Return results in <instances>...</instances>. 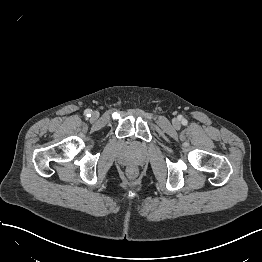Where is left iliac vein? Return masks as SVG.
I'll return each instance as SVG.
<instances>
[{"instance_id":"4c4485c4","label":"left iliac vein","mask_w":262,"mask_h":262,"mask_svg":"<svg viewBox=\"0 0 262 262\" xmlns=\"http://www.w3.org/2000/svg\"><path fill=\"white\" fill-rule=\"evenodd\" d=\"M173 125H174L175 127H179V126H180V123H179L177 120H174V121H173Z\"/></svg>"}]
</instances>
